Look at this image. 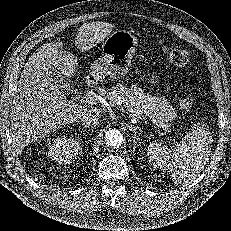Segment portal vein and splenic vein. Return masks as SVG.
<instances>
[{
  "label": "portal vein and splenic vein",
  "mask_w": 231,
  "mask_h": 231,
  "mask_svg": "<svg viewBox=\"0 0 231 231\" xmlns=\"http://www.w3.org/2000/svg\"><path fill=\"white\" fill-rule=\"evenodd\" d=\"M99 96L97 95H87L85 97H83L81 99V102H85V103H88V104H95L97 100H99L98 98ZM151 119V121L158 127L162 128L163 130L169 132L168 130V126L166 124H164L163 122L159 121L158 119L156 118H153V117H149Z\"/></svg>",
  "instance_id": "18ae733b"
}]
</instances>
